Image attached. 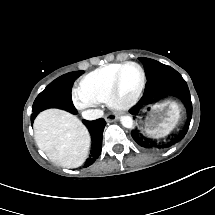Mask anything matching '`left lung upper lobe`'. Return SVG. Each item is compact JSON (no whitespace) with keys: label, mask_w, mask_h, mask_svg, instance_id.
I'll list each match as a JSON object with an SVG mask.
<instances>
[{"label":"left lung upper lobe","mask_w":215,"mask_h":215,"mask_svg":"<svg viewBox=\"0 0 215 215\" xmlns=\"http://www.w3.org/2000/svg\"><path fill=\"white\" fill-rule=\"evenodd\" d=\"M139 60L145 67L147 83L143 97L131 110V114H137L142 106L154 97H158L160 95H172L178 97L184 103L187 109V122L183 130L166 143L157 144L152 142L137 130H133L131 135L136 143L143 148L161 149L170 147L184 138L190 125L192 117V103L187 83L184 81L182 76L170 66L148 58H139Z\"/></svg>","instance_id":"left-lung-upper-lobe-1"}]
</instances>
